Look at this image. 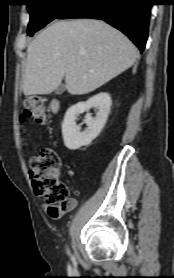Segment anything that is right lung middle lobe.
<instances>
[{
	"mask_svg": "<svg viewBox=\"0 0 174 278\" xmlns=\"http://www.w3.org/2000/svg\"><path fill=\"white\" fill-rule=\"evenodd\" d=\"M77 0H27V10L30 14L27 34L35 32L46 24L57 19L71 4Z\"/></svg>",
	"mask_w": 174,
	"mask_h": 278,
	"instance_id": "obj_1",
	"label": "right lung middle lobe"
}]
</instances>
